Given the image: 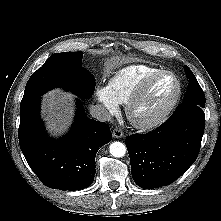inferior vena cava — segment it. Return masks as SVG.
<instances>
[{
  "mask_svg": "<svg viewBox=\"0 0 221 221\" xmlns=\"http://www.w3.org/2000/svg\"><path fill=\"white\" fill-rule=\"evenodd\" d=\"M90 114L99 121L105 122L111 120V115L108 113L106 108L100 104L91 106Z\"/></svg>",
  "mask_w": 221,
  "mask_h": 221,
  "instance_id": "1",
  "label": "inferior vena cava"
}]
</instances>
